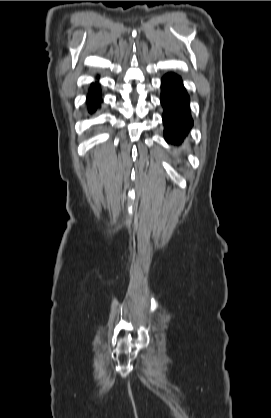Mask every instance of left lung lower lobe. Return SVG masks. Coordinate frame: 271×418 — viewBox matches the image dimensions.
<instances>
[{
  "label": "left lung lower lobe",
  "instance_id": "1",
  "mask_svg": "<svg viewBox=\"0 0 271 418\" xmlns=\"http://www.w3.org/2000/svg\"><path fill=\"white\" fill-rule=\"evenodd\" d=\"M161 90L164 137L167 143L179 145L193 126L189 96L181 78L174 73H168L162 78Z\"/></svg>",
  "mask_w": 271,
  "mask_h": 418
}]
</instances>
